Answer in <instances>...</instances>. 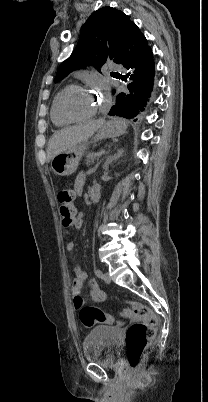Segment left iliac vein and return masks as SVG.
<instances>
[{
  "mask_svg": "<svg viewBox=\"0 0 208 402\" xmlns=\"http://www.w3.org/2000/svg\"><path fill=\"white\" fill-rule=\"evenodd\" d=\"M102 279L106 284H109L111 282V278L106 272L102 275Z\"/></svg>",
  "mask_w": 208,
  "mask_h": 402,
  "instance_id": "left-iliac-vein-1",
  "label": "left iliac vein"
}]
</instances>
